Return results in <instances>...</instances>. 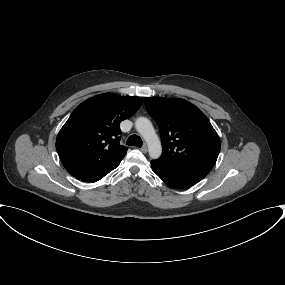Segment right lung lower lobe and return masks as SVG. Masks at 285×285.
I'll return each instance as SVG.
<instances>
[{
    "mask_svg": "<svg viewBox=\"0 0 285 285\" xmlns=\"http://www.w3.org/2000/svg\"><path fill=\"white\" fill-rule=\"evenodd\" d=\"M104 177V176H103ZM103 177H97V178H94V179H82V178H79V177H76L77 179H80L82 181H87V182H96L98 180H100L101 178Z\"/></svg>",
    "mask_w": 285,
    "mask_h": 285,
    "instance_id": "obj_1",
    "label": "right lung lower lobe"
}]
</instances>
